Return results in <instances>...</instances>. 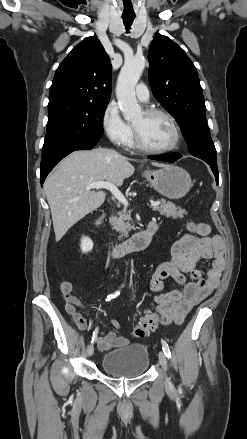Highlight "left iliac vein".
I'll return each instance as SVG.
<instances>
[{
  "mask_svg": "<svg viewBox=\"0 0 247 439\" xmlns=\"http://www.w3.org/2000/svg\"><path fill=\"white\" fill-rule=\"evenodd\" d=\"M159 363L162 366L163 370L166 372L167 370V359L166 356L164 354V352L160 351L159 352ZM166 384L167 386H171V381L168 377H166Z\"/></svg>",
  "mask_w": 247,
  "mask_h": 439,
  "instance_id": "1",
  "label": "left iliac vein"
}]
</instances>
